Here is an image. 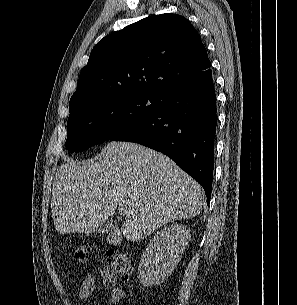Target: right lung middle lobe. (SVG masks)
<instances>
[{
    "label": "right lung middle lobe",
    "mask_w": 297,
    "mask_h": 305,
    "mask_svg": "<svg viewBox=\"0 0 297 305\" xmlns=\"http://www.w3.org/2000/svg\"><path fill=\"white\" fill-rule=\"evenodd\" d=\"M163 96L152 92H128L105 97L70 112L66 147L83 151L109 140L151 114Z\"/></svg>",
    "instance_id": "right-lung-middle-lobe-1"
}]
</instances>
